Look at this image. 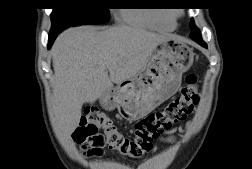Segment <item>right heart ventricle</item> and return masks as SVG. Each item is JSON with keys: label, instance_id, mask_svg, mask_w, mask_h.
<instances>
[{"label": "right heart ventricle", "instance_id": "e07e8e85", "mask_svg": "<svg viewBox=\"0 0 252 169\" xmlns=\"http://www.w3.org/2000/svg\"><path fill=\"white\" fill-rule=\"evenodd\" d=\"M119 15L124 21L137 27L164 31H171L176 27L174 17L166 12L123 9Z\"/></svg>", "mask_w": 252, "mask_h": 169}]
</instances>
